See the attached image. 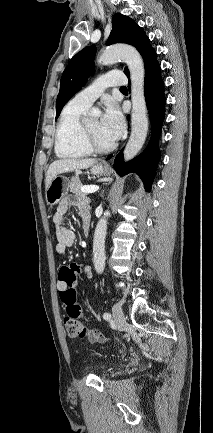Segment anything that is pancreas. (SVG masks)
<instances>
[{
    "label": "pancreas",
    "instance_id": "obj_1",
    "mask_svg": "<svg viewBox=\"0 0 213 433\" xmlns=\"http://www.w3.org/2000/svg\"><path fill=\"white\" fill-rule=\"evenodd\" d=\"M82 184L80 182L79 177H73L70 183V191L73 192L76 196H84L85 193L81 191Z\"/></svg>",
    "mask_w": 213,
    "mask_h": 433
}]
</instances>
